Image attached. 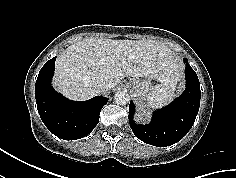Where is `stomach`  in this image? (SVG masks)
<instances>
[{
    "label": "stomach",
    "instance_id": "1",
    "mask_svg": "<svg viewBox=\"0 0 236 178\" xmlns=\"http://www.w3.org/2000/svg\"><path fill=\"white\" fill-rule=\"evenodd\" d=\"M132 95L138 100L147 99L149 92L151 90V80L144 79L141 80L139 78L131 79L128 84Z\"/></svg>",
    "mask_w": 236,
    "mask_h": 178
}]
</instances>
